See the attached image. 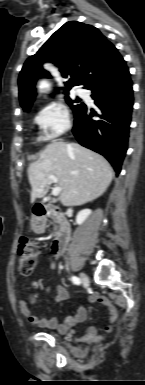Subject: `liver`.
<instances>
[{"mask_svg":"<svg viewBox=\"0 0 145 385\" xmlns=\"http://www.w3.org/2000/svg\"><path fill=\"white\" fill-rule=\"evenodd\" d=\"M28 179L32 187L31 202L43 197L54 175L62 191L64 206H79L100 197L110 185L114 172L100 154L76 143L54 141L40 152L37 161L29 164Z\"/></svg>","mask_w":145,"mask_h":385,"instance_id":"1","label":"liver"}]
</instances>
